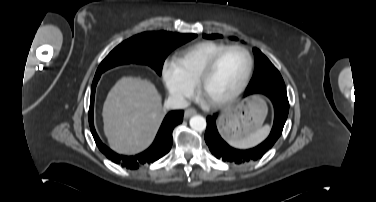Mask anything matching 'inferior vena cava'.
Wrapping results in <instances>:
<instances>
[{"label": "inferior vena cava", "mask_w": 376, "mask_h": 202, "mask_svg": "<svg viewBox=\"0 0 376 202\" xmlns=\"http://www.w3.org/2000/svg\"><path fill=\"white\" fill-rule=\"evenodd\" d=\"M165 107L167 109H185L188 107V102L182 96L172 95L165 102Z\"/></svg>", "instance_id": "1"}]
</instances>
